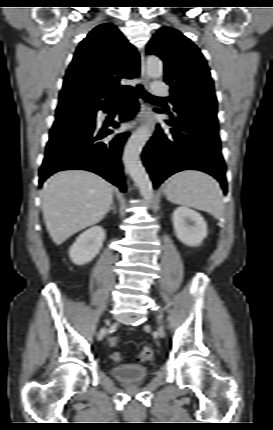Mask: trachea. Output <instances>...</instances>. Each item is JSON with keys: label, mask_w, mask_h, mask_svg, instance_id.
<instances>
[{"label": "trachea", "mask_w": 273, "mask_h": 430, "mask_svg": "<svg viewBox=\"0 0 273 430\" xmlns=\"http://www.w3.org/2000/svg\"><path fill=\"white\" fill-rule=\"evenodd\" d=\"M137 88L139 90V93H140L141 97L143 99H145V100L163 99V98L156 97V96H153V95L147 93L141 85H138ZM125 99H126V94L123 91H120V95H119V99L118 100L121 101V100H125Z\"/></svg>", "instance_id": "3493384b"}]
</instances>
